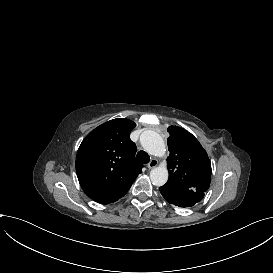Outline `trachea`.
<instances>
[{
  "label": "trachea",
  "instance_id": "3493384b",
  "mask_svg": "<svg viewBox=\"0 0 273 273\" xmlns=\"http://www.w3.org/2000/svg\"><path fill=\"white\" fill-rule=\"evenodd\" d=\"M136 159L142 164H147L150 161V156L145 151L140 150Z\"/></svg>",
  "mask_w": 273,
  "mask_h": 273
}]
</instances>
